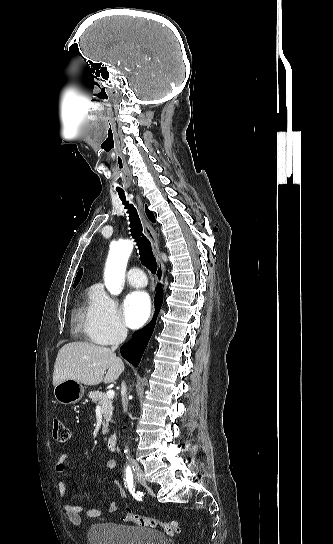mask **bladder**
<instances>
[{"mask_svg": "<svg viewBox=\"0 0 333 544\" xmlns=\"http://www.w3.org/2000/svg\"><path fill=\"white\" fill-rule=\"evenodd\" d=\"M88 544H169L166 535L151 528L99 523L87 532Z\"/></svg>", "mask_w": 333, "mask_h": 544, "instance_id": "bladder-1", "label": "bladder"}]
</instances>
